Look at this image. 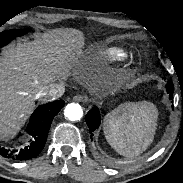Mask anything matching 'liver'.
I'll return each mask as SVG.
<instances>
[{
  "instance_id": "6515ba94",
  "label": "liver",
  "mask_w": 183,
  "mask_h": 183,
  "mask_svg": "<svg viewBox=\"0 0 183 183\" xmlns=\"http://www.w3.org/2000/svg\"><path fill=\"white\" fill-rule=\"evenodd\" d=\"M83 48L84 37L74 29L54 30L9 48L0 59V138L18 132L34 108L36 93L83 65ZM85 70L86 79L94 82L98 68Z\"/></svg>"
}]
</instances>
